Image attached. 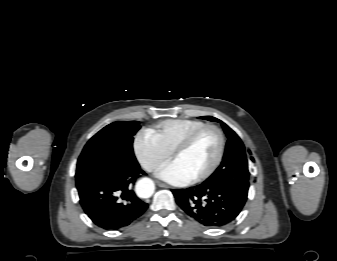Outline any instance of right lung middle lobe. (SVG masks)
<instances>
[{"instance_id": "obj_1", "label": "right lung middle lobe", "mask_w": 337, "mask_h": 261, "mask_svg": "<svg viewBox=\"0 0 337 261\" xmlns=\"http://www.w3.org/2000/svg\"><path fill=\"white\" fill-rule=\"evenodd\" d=\"M139 129L137 121H118L101 129L79 156L76 179L111 162L138 164L133 152V137Z\"/></svg>"}]
</instances>
